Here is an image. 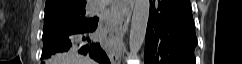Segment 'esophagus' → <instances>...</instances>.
Here are the masks:
<instances>
[{
  "instance_id": "esophagus-1",
  "label": "esophagus",
  "mask_w": 242,
  "mask_h": 64,
  "mask_svg": "<svg viewBox=\"0 0 242 64\" xmlns=\"http://www.w3.org/2000/svg\"><path fill=\"white\" fill-rule=\"evenodd\" d=\"M134 7V0H123L122 1V14H121V19H120V36L123 37L124 34L126 33L132 11Z\"/></svg>"
}]
</instances>
